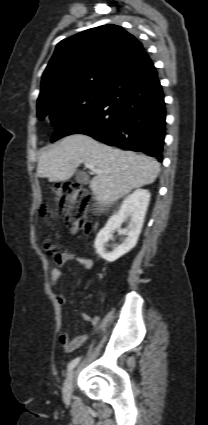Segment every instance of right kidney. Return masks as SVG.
Wrapping results in <instances>:
<instances>
[{
	"instance_id": "obj_1",
	"label": "right kidney",
	"mask_w": 208,
	"mask_h": 425,
	"mask_svg": "<svg viewBox=\"0 0 208 425\" xmlns=\"http://www.w3.org/2000/svg\"><path fill=\"white\" fill-rule=\"evenodd\" d=\"M149 201L150 193L144 189L135 190L124 199L119 211L108 220L105 227L100 230L96 237L94 246L96 252L103 259L108 262H114L135 247L141 233ZM125 221H129L127 238L112 251L107 250L106 243L111 234L120 228Z\"/></svg>"
}]
</instances>
